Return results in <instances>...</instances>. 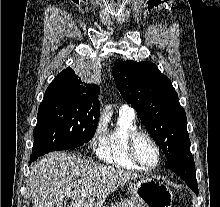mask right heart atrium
I'll list each match as a JSON object with an SVG mask.
<instances>
[{"label": "right heart atrium", "mask_w": 220, "mask_h": 207, "mask_svg": "<svg viewBox=\"0 0 220 207\" xmlns=\"http://www.w3.org/2000/svg\"><path fill=\"white\" fill-rule=\"evenodd\" d=\"M106 130V123L103 117H100L95 125L92 137H91V146L97 148L99 143L101 142L104 133Z\"/></svg>", "instance_id": "1"}]
</instances>
